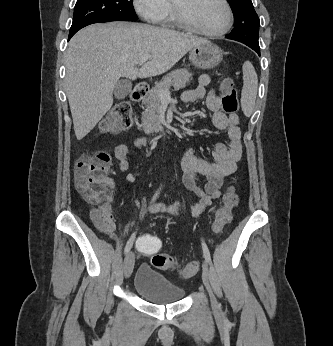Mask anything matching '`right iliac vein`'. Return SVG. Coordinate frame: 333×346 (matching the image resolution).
Returning <instances> with one entry per match:
<instances>
[{
    "label": "right iliac vein",
    "instance_id": "right-iliac-vein-1",
    "mask_svg": "<svg viewBox=\"0 0 333 346\" xmlns=\"http://www.w3.org/2000/svg\"><path fill=\"white\" fill-rule=\"evenodd\" d=\"M134 264L135 255L133 252H129L124 260V275L126 278H128L131 275L134 268Z\"/></svg>",
    "mask_w": 333,
    "mask_h": 346
}]
</instances>
